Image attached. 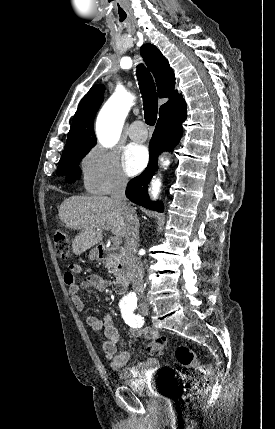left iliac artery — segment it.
<instances>
[{"label": "left iliac artery", "instance_id": "obj_1", "mask_svg": "<svg viewBox=\"0 0 275 429\" xmlns=\"http://www.w3.org/2000/svg\"><path fill=\"white\" fill-rule=\"evenodd\" d=\"M134 306H125L121 308L122 317L126 324L133 328H139L143 325V318L133 313Z\"/></svg>", "mask_w": 275, "mask_h": 429}]
</instances>
